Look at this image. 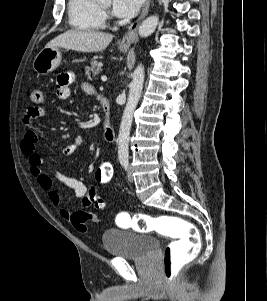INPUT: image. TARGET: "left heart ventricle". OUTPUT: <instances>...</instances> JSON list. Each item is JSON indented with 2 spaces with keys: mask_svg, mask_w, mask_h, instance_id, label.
Returning a JSON list of instances; mask_svg holds the SVG:
<instances>
[{
  "mask_svg": "<svg viewBox=\"0 0 267 301\" xmlns=\"http://www.w3.org/2000/svg\"><path fill=\"white\" fill-rule=\"evenodd\" d=\"M110 3V0H100V4L107 9L110 7Z\"/></svg>",
  "mask_w": 267,
  "mask_h": 301,
  "instance_id": "b2bd125f",
  "label": "left heart ventricle"
}]
</instances>
